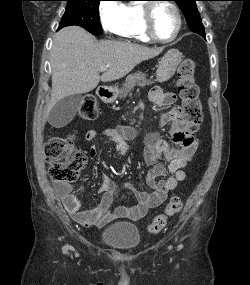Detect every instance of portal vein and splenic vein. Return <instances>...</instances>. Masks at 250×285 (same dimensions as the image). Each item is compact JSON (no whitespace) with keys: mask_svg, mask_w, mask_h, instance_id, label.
<instances>
[{"mask_svg":"<svg viewBox=\"0 0 250 285\" xmlns=\"http://www.w3.org/2000/svg\"><path fill=\"white\" fill-rule=\"evenodd\" d=\"M108 67H109V66L107 65V66L101 68V71L103 72V71L107 70Z\"/></svg>","mask_w":250,"mask_h":285,"instance_id":"18ae733b","label":"portal vein and splenic vein"}]
</instances>
